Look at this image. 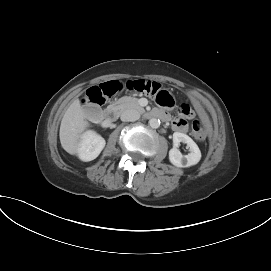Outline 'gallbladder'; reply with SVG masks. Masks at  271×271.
Returning a JSON list of instances; mask_svg holds the SVG:
<instances>
[{
  "instance_id": "1",
  "label": "gallbladder",
  "mask_w": 271,
  "mask_h": 271,
  "mask_svg": "<svg viewBox=\"0 0 271 271\" xmlns=\"http://www.w3.org/2000/svg\"><path fill=\"white\" fill-rule=\"evenodd\" d=\"M101 110L98 107H90L88 108V117L92 120L100 119Z\"/></svg>"
}]
</instances>
